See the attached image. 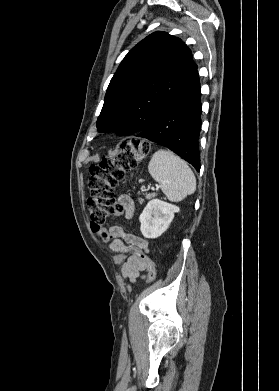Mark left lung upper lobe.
<instances>
[{"mask_svg": "<svg viewBox=\"0 0 279 391\" xmlns=\"http://www.w3.org/2000/svg\"><path fill=\"white\" fill-rule=\"evenodd\" d=\"M197 71L181 39L155 32L125 56L110 81L97 120L100 132L127 136L147 128Z\"/></svg>", "mask_w": 279, "mask_h": 391, "instance_id": "obj_1", "label": "left lung upper lobe"}]
</instances>
